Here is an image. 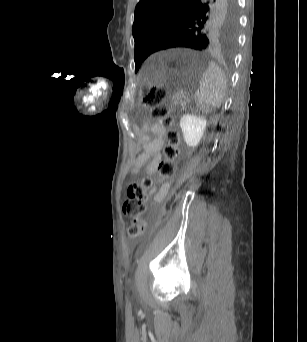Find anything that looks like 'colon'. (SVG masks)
<instances>
[{
  "mask_svg": "<svg viewBox=\"0 0 307 342\" xmlns=\"http://www.w3.org/2000/svg\"><path fill=\"white\" fill-rule=\"evenodd\" d=\"M141 93L143 103L149 109L151 117L157 122L169 125L170 115L166 106V95L168 87H148L146 82L141 84ZM168 144L164 148V157L157 165V175L166 179L175 174V160L180 153L179 133L176 130H170L167 135ZM156 179L151 175H144L139 182L132 183L128 186L127 198L123 203V211L126 216L130 217L127 226V233L131 239L141 237L146 231V223L142 219L146 211L147 190L152 188Z\"/></svg>",
  "mask_w": 307,
  "mask_h": 342,
  "instance_id": "colon-1",
  "label": "colon"
}]
</instances>
